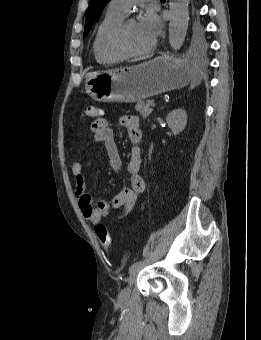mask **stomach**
<instances>
[{
    "instance_id": "0dacf381",
    "label": "stomach",
    "mask_w": 261,
    "mask_h": 340,
    "mask_svg": "<svg viewBox=\"0 0 261 340\" xmlns=\"http://www.w3.org/2000/svg\"><path fill=\"white\" fill-rule=\"evenodd\" d=\"M195 73L184 61L160 56L135 66L90 73L85 89L96 101L132 103L183 88Z\"/></svg>"
}]
</instances>
